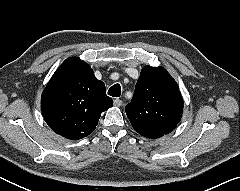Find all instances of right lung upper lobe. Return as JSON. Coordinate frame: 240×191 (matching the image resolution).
<instances>
[{
    "mask_svg": "<svg viewBox=\"0 0 240 191\" xmlns=\"http://www.w3.org/2000/svg\"><path fill=\"white\" fill-rule=\"evenodd\" d=\"M112 106L104 83L76 57L60 65L41 96L44 120L55 133L70 140L91 134L100 114Z\"/></svg>",
    "mask_w": 240,
    "mask_h": 191,
    "instance_id": "right-lung-upper-lobe-1",
    "label": "right lung upper lobe"
}]
</instances>
